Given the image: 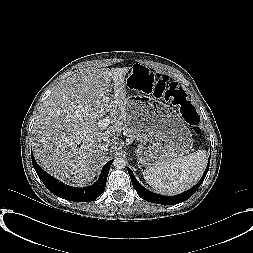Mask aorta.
Wrapping results in <instances>:
<instances>
[{
    "label": "aorta",
    "instance_id": "762f6f07",
    "mask_svg": "<svg viewBox=\"0 0 253 253\" xmlns=\"http://www.w3.org/2000/svg\"><path fill=\"white\" fill-rule=\"evenodd\" d=\"M127 161L122 157H117L113 161V166L116 169H123L126 167Z\"/></svg>",
    "mask_w": 253,
    "mask_h": 253
}]
</instances>
